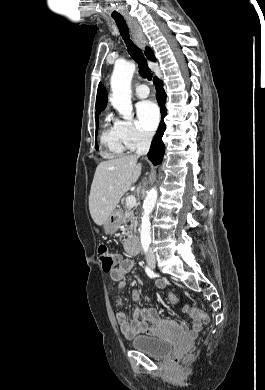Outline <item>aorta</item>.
Instances as JSON below:
<instances>
[{"label": "aorta", "mask_w": 265, "mask_h": 390, "mask_svg": "<svg viewBox=\"0 0 265 390\" xmlns=\"http://www.w3.org/2000/svg\"><path fill=\"white\" fill-rule=\"evenodd\" d=\"M136 66L133 62H119L115 64L111 76V103L123 119L132 117V102H131V80L135 72ZM157 200V189L153 187L147 193L143 203V214L141 218L140 240L143 247L149 246L151 243V222L150 214Z\"/></svg>", "instance_id": "obj_1"}]
</instances>
